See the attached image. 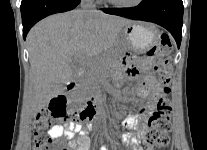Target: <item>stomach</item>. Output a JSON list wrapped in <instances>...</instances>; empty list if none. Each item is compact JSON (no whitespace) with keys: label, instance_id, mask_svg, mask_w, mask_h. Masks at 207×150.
<instances>
[{"label":"stomach","instance_id":"obj_1","mask_svg":"<svg viewBox=\"0 0 207 150\" xmlns=\"http://www.w3.org/2000/svg\"><path fill=\"white\" fill-rule=\"evenodd\" d=\"M158 35L159 32L151 26L135 22L128 23L120 32V39L118 41L120 52L118 54L127 47L142 53L157 42Z\"/></svg>","mask_w":207,"mask_h":150}]
</instances>
